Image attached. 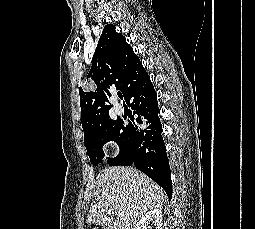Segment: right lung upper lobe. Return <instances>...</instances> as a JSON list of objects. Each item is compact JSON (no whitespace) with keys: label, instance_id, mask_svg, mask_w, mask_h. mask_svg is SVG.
I'll use <instances>...</instances> for the list:
<instances>
[{"label":"right lung upper lobe","instance_id":"obj_1","mask_svg":"<svg viewBox=\"0 0 255 229\" xmlns=\"http://www.w3.org/2000/svg\"><path fill=\"white\" fill-rule=\"evenodd\" d=\"M141 67L142 63L123 35L115 31L114 25L105 26L88 73L96 88L92 91L79 88L84 141L110 119L108 98L113 89L120 90L125 98L133 74Z\"/></svg>","mask_w":255,"mask_h":229}]
</instances>
